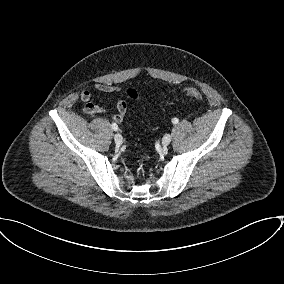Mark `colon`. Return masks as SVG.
I'll use <instances>...</instances> for the list:
<instances>
[{
    "instance_id": "1",
    "label": "colon",
    "mask_w": 284,
    "mask_h": 284,
    "mask_svg": "<svg viewBox=\"0 0 284 284\" xmlns=\"http://www.w3.org/2000/svg\"><path fill=\"white\" fill-rule=\"evenodd\" d=\"M184 93L197 99V100H202V94L195 88H186L184 90ZM126 97L129 99H136L137 98V92L134 89H128L125 92Z\"/></svg>"
}]
</instances>
